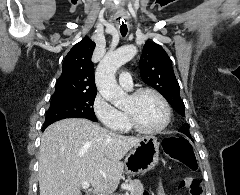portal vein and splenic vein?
Listing matches in <instances>:
<instances>
[{"label": "portal vein and splenic vein", "instance_id": "1", "mask_svg": "<svg viewBox=\"0 0 240 195\" xmlns=\"http://www.w3.org/2000/svg\"><path fill=\"white\" fill-rule=\"evenodd\" d=\"M82 187L83 189H87V187H90V181H83L82 183ZM133 188V187H132ZM125 189V187H124ZM130 191V190H129Z\"/></svg>", "mask_w": 240, "mask_h": 195}]
</instances>
